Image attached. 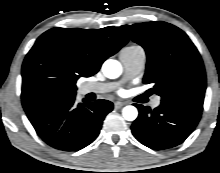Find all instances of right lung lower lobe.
Segmentation results:
<instances>
[{
  "mask_svg": "<svg viewBox=\"0 0 220 173\" xmlns=\"http://www.w3.org/2000/svg\"><path fill=\"white\" fill-rule=\"evenodd\" d=\"M75 96L44 100L25 110L38 136L55 149L77 151L89 145L113 109L107 100L77 104Z\"/></svg>",
  "mask_w": 220,
  "mask_h": 173,
  "instance_id": "right-lung-lower-lobe-1",
  "label": "right lung lower lobe"
}]
</instances>
